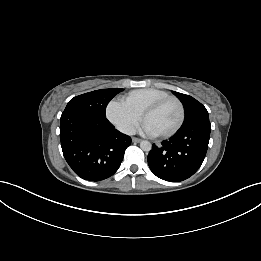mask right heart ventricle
<instances>
[{
  "label": "right heart ventricle",
  "instance_id": "obj_1",
  "mask_svg": "<svg viewBox=\"0 0 261 261\" xmlns=\"http://www.w3.org/2000/svg\"><path fill=\"white\" fill-rule=\"evenodd\" d=\"M167 96H169V94L164 90L156 88H145L129 92L123 97L122 100L132 110L141 115L148 105Z\"/></svg>",
  "mask_w": 261,
  "mask_h": 261
}]
</instances>
